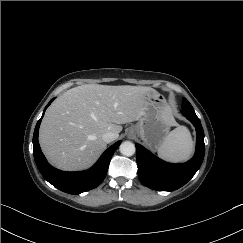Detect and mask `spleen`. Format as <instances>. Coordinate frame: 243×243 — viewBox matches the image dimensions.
<instances>
[{"label": "spleen", "instance_id": "3e777b00", "mask_svg": "<svg viewBox=\"0 0 243 243\" xmlns=\"http://www.w3.org/2000/svg\"><path fill=\"white\" fill-rule=\"evenodd\" d=\"M193 152V141L189 130L178 126L171 131L158 148V155L171 162L187 160Z\"/></svg>", "mask_w": 243, "mask_h": 243}]
</instances>
